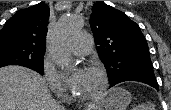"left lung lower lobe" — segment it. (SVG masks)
I'll return each mask as SVG.
<instances>
[{"label": "left lung lower lobe", "instance_id": "1", "mask_svg": "<svg viewBox=\"0 0 171 110\" xmlns=\"http://www.w3.org/2000/svg\"><path fill=\"white\" fill-rule=\"evenodd\" d=\"M124 81H138V82L146 83V84L154 87L157 90L159 88V85L157 83L156 78H148V77H131V78H126V79L120 80L119 82L111 84L110 87H112V86H114V85H116L118 83L124 82Z\"/></svg>", "mask_w": 171, "mask_h": 110}]
</instances>
